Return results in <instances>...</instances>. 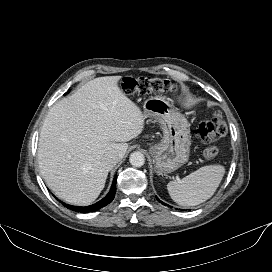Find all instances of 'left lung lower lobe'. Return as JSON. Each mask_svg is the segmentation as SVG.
<instances>
[{
  "mask_svg": "<svg viewBox=\"0 0 272 272\" xmlns=\"http://www.w3.org/2000/svg\"><path fill=\"white\" fill-rule=\"evenodd\" d=\"M157 198V197H156ZM157 200L158 201H160L158 198H157ZM163 205H165V206H168L169 207V205H167V204H165V203H163L162 201H160Z\"/></svg>",
  "mask_w": 272,
  "mask_h": 272,
  "instance_id": "obj_1",
  "label": "left lung lower lobe"
}]
</instances>
